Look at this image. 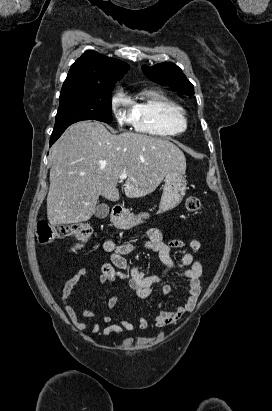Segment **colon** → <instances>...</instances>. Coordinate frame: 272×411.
Masks as SVG:
<instances>
[{"label": "colon", "instance_id": "colon-1", "mask_svg": "<svg viewBox=\"0 0 272 411\" xmlns=\"http://www.w3.org/2000/svg\"><path fill=\"white\" fill-rule=\"evenodd\" d=\"M185 207L188 212H197L201 208V201L197 196H190L186 200ZM36 234L38 241L42 244H49L65 238H75L77 240L75 247L77 248L88 241L92 234V228L83 222L53 225L47 221H39Z\"/></svg>", "mask_w": 272, "mask_h": 411}]
</instances>
